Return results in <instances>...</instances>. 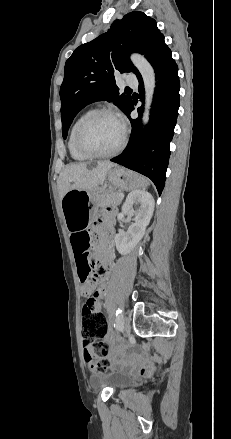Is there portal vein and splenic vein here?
<instances>
[{
  "mask_svg": "<svg viewBox=\"0 0 231 439\" xmlns=\"http://www.w3.org/2000/svg\"><path fill=\"white\" fill-rule=\"evenodd\" d=\"M120 196H121V198H123V197H124V195H123L122 193H120Z\"/></svg>",
  "mask_w": 231,
  "mask_h": 439,
  "instance_id": "1",
  "label": "portal vein and splenic vein"
}]
</instances>
